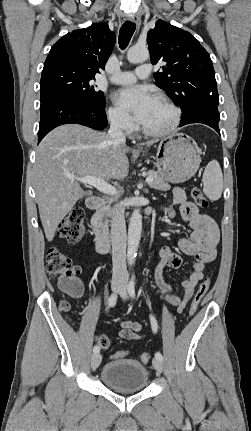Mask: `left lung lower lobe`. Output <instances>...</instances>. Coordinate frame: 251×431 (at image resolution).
<instances>
[{
    "mask_svg": "<svg viewBox=\"0 0 251 431\" xmlns=\"http://www.w3.org/2000/svg\"><path fill=\"white\" fill-rule=\"evenodd\" d=\"M219 120L220 115L218 110L201 109L193 112L186 118L182 119L180 126H184L191 123H203L214 128L220 134V130L218 127Z\"/></svg>",
    "mask_w": 251,
    "mask_h": 431,
    "instance_id": "1",
    "label": "left lung lower lobe"
}]
</instances>
